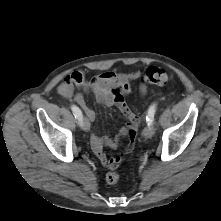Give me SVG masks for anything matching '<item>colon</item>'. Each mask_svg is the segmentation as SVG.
Listing matches in <instances>:
<instances>
[{
	"mask_svg": "<svg viewBox=\"0 0 221 221\" xmlns=\"http://www.w3.org/2000/svg\"><path fill=\"white\" fill-rule=\"evenodd\" d=\"M170 78L171 75L165 69L160 67H149L143 76V80L146 83L153 85H164L170 80ZM129 91H130V86L127 83H125L119 88V90L115 95V102L125 116H129L130 112V109L128 108L124 99V96L128 94ZM138 124H139V119L138 117H136L133 124L129 127L127 132L128 145L126 147L125 152H129L134 145L137 135ZM121 160H122L121 156L112 157L111 159H109L108 161L109 171L106 173L105 176L107 184L114 185L119 181V174L114 169L118 166Z\"/></svg>",
	"mask_w": 221,
	"mask_h": 221,
	"instance_id": "1",
	"label": "colon"
}]
</instances>
